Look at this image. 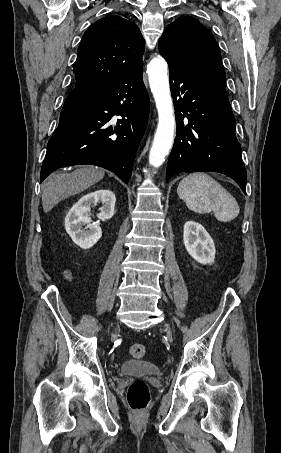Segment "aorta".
I'll return each mask as SVG.
<instances>
[{
    "label": "aorta",
    "instance_id": "762f6f07",
    "mask_svg": "<svg viewBox=\"0 0 281 453\" xmlns=\"http://www.w3.org/2000/svg\"><path fill=\"white\" fill-rule=\"evenodd\" d=\"M147 74L157 112L158 125L149 153V164L160 167L174 142L175 115L171 97L168 66L164 58H153L147 65Z\"/></svg>",
    "mask_w": 281,
    "mask_h": 453
}]
</instances>
